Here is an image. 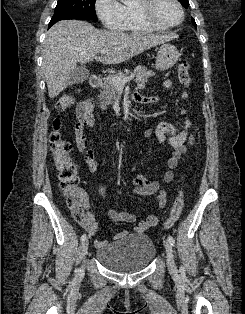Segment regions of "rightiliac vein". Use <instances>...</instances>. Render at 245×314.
<instances>
[{
  "instance_id": "right-iliac-vein-1",
  "label": "right iliac vein",
  "mask_w": 245,
  "mask_h": 314,
  "mask_svg": "<svg viewBox=\"0 0 245 314\" xmlns=\"http://www.w3.org/2000/svg\"><path fill=\"white\" fill-rule=\"evenodd\" d=\"M88 247H89V241H88V239H85V240L82 242V246H81V252H82L83 258H84L85 255L87 254ZM82 271H83V266H82L81 269H80V272H82Z\"/></svg>"
}]
</instances>
